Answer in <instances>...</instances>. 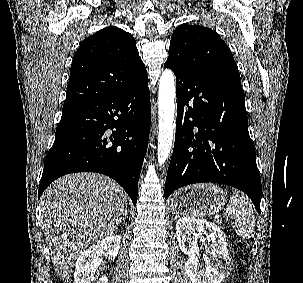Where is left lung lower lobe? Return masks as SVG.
Returning <instances> with one entry per match:
<instances>
[{
    "instance_id": "0a47b994",
    "label": "left lung lower lobe",
    "mask_w": 303,
    "mask_h": 283,
    "mask_svg": "<svg viewBox=\"0 0 303 283\" xmlns=\"http://www.w3.org/2000/svg\"><path fill=\"white\" fill-rule=\"evenodd\" d=\"M165 67L177 79L175 145L165 198L190 184L221 183L246 193L260 213L261 179L241 81L223 73L193 75Z\"/></svg>"
}]
</instances>
